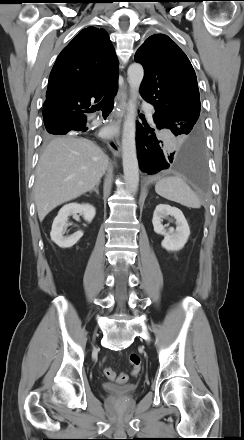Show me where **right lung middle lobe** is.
Masks as SVG:
<instances>
[{"instance_id": "obj_1", "label": "right lung middle lobe", "mask_w": 244, "mask_h": 440, "mask_svg": "<svg viewBox=\"0 0 244 440\" xmlns=\"http://www.w3.org/2000/svg\"><path fill=\"white\" fill-rule=\"evenodd\" d=\"M52 135H60L59 130H57V129H52V128H50V127H46V130H45V137H46V138H49V137H51Z\"/></svg>"}]
</instances>
